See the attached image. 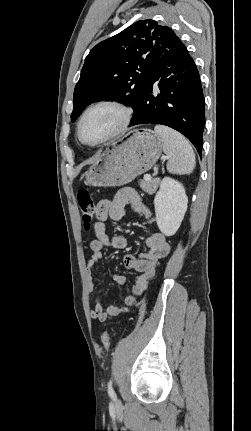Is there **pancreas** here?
Wrapping results in <instances>:
<instances>
[{
	"instance_id": "obj_1",
	"label": "pancreas",
	"mask_w": 251,
	"mask_h": 431,
	"mask_svg": "<svg viewBox=\"0 0 251 431\" xmlns=\"http://www.w3.org/2000/svg\"><path fill=\"white\" fill-rule=\"evenodd\" d=\"M159 185V179H151L149 181L147 180H140L139 186L142 188L144 192H147L148 194L152 195L156 192Z\"/></svg>"
}]
</instances>
